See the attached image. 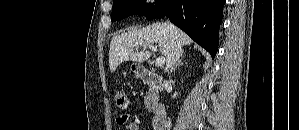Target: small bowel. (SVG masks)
Instances as JSON below:
<instances>
[{
    "instance_id": "obj_1",
    "label": "small bowel",
    "mask_w": 299,
    "mask_h": 130,
    "mask_svg": "<svg viewBox=\"0 0 299 130\" xmlns=\"http://www.w3.org/2000/svg\"><path fill=\"white\" fill-rule=\"evenodd\" d=\"M126 120H127V116L122 115V116L117 118V123L122 125L126 122ZM125 129H127V130H139V125L136 122H130L125 126Z\"/></svg>"
}]
</instances>
